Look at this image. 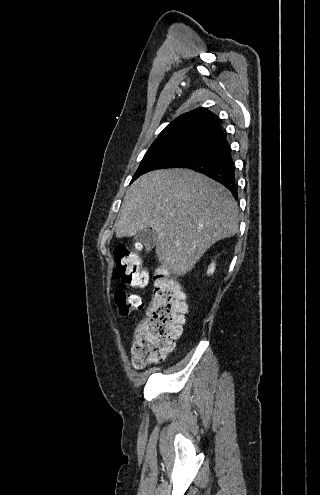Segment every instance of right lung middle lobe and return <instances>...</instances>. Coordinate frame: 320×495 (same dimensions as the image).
Here are the masks:
<instances>
[{
	"label": "right lung middle lobe",
	"instance_id": "obj_1",
	"mask_svg": "<svg viewBox=\"0 0 320 495\" xmlns=\"http://www.w3.org/2000/svg\"><path fill=\"white\" fill-rule=\"evenodd\" d=\"M205 142V140L201 139H184L151 145L130 184L139 176L149 171L178 167L200 149Z\"/></svg>",
	"mask_w": 320,
	"mask_h": 495
}]
</instances>
